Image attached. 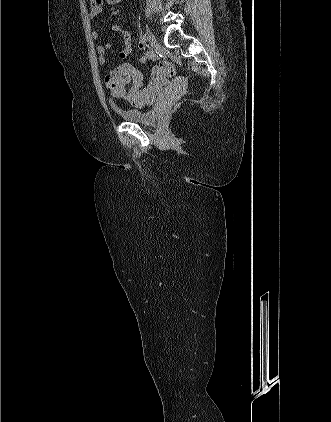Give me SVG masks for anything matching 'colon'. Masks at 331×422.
<instances>
[{
  "instance_id": "colon-1",
  "label": "colon",
  "mask_w": 331,
  "mask_h": 422,
  "mask_svg": "<svg viewBox=\"0 0 331 422\" xmlns=\"http://www.w3.org/2000/svg\"><path fill=\"white\" fill-rule=\"evenodd\" d=\"M154 76L159 80L171 78L176 75L175 66L168 61H160L153 70ZM110 85L109 89L112 95L116 98H122L127 96L128 98H134L141 103H148L149 99L140 96L136 93L133 87L130 90L126 89V86L130 82H135L142 78L141 72L135 67L129 64L121 65L115 68L110 74Z\"/></svg>"
}]
</instances>
